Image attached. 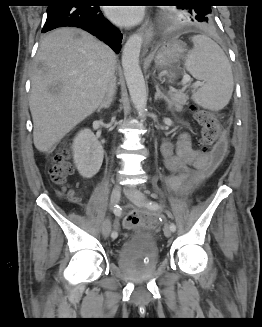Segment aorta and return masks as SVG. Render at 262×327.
Returning a JSON list of instances; mask_svg holds the SVG:
<instances>
[{
	"label": "aorta",
	"mask_w": 262,
	"mask_h": 327,
	"mask_svg": "<svg viewBox=\"0 0 262 327\" xmlns=\"http://www.w3.org/2000/svg\"><path fill=\"white\" fill-rule=\"evenodd\" d=\"M143 37L139 33L131 35L122 52V66L131 100L140 117L146 116L147 93L142 70L139 65Z\"/></svg>",
	"instance_id": "obj_1"
}]
</instances>
